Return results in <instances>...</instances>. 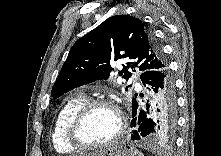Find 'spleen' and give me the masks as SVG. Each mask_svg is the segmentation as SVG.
Segmentation results:
<instances>
[{
  "label": "spleen",
  "mask_w": 221,
  "mask_h": 156,
  "mask_svg": "<svg viewBox=\"0 0 221 156\" xmlns=\"http://www.w3.org/2000/svg\"><path fill=\"white\" fill-rule=\"evenodd\" d=\"M136 151H137L138 156H143L141 152H139L138 150H136Z\"/></svg>",
  "instance_id": "obj_1"
}]
</instances>
